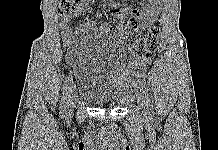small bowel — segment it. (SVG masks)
<instances>
[{
	"label": "small bowel",
	"mask_w": 218,
	"mask_h": 150,
	"mask_svg": "<svg viewBox=\"0 0 218 150\" xmlns=\"http://www.w3.org/2000/svg\"><path fill=\"white\" fill-rule=\"evenodd\" d=\"M91 1L92 0H81L75 6V9L71 12V15H66L62 19V41L64 46L69 48L67 59L70 63H73L77 57V49L72 47L76 37L89 30H95L115 36L119 39H124L126 33L130 29H138L139 25L142 28H149L153 24L159 15L161 0H145L146 4L141 12L127 6L119 7L117 0H109L111 5L110 12L114 14L119 21L117 27H113L111 24L106 22L97 25L96 19L91 17L86 18L82 23L78 24L76 27H73L71 24L72 20L86 13L89 9ZM95 17L101 18L102 14L98 12L96 13Z\"/></svg>",
	"instance_id": "obj_1"
}]
</instances>
